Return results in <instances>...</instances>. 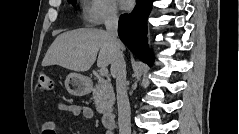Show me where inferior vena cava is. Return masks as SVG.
<instances>
[{
	"label": "inferior vena cava",
	"mask_w": 239,
	"mask_h": 134,
	"mask_svg": "<svg viewBox=\"0 0 239 134\" xmlns=\"http://www.w3.org/2000/svg\"><path fill=\"white\" fill-rule=\"evenodd\" d=\"M105 26L114 49L111 74L116 78L119 134H130V104L126 90V64L117 34L118 16L115 8L108 11Z\"/></svg>",
	"instance_id": "inferior-vena-cava-1"
}]
</instances>
